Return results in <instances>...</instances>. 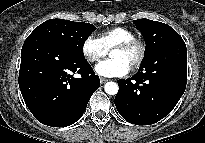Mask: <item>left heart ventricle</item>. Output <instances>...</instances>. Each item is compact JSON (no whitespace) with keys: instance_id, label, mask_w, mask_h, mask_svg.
Here are the masks:
<instances>
[{"instance_id":"1","label":"left heart ventricle","mask_w":205,"mask_h":143,"mask_svg":"<svg viewBox=\"0 0 205 143\" xmlns=\"http://www.w3.org/2000/svg\"><path fill=\"white\" fill-rule=\"evenodd\" d=\"M138 55V50L136 48H132L129 50H113L110 52V57L122 60L129 67L136 60Z\"/></svg>"}]
</instances>
